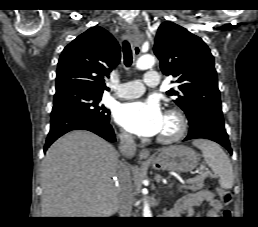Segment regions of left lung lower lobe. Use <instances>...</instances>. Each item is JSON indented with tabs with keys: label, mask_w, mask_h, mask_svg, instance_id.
Segmentation results:
<instances>
[{
	"label": "left lung lower lobe",
	"mask_w": 258,
	"mask_h": 227,
	"mask_svg": "<svg viewBox=\"0 0 258 227\" xmlns=\"http://www.w3.org/2000/svg\"><path fill=\"white\" fill-rule=\"evenodd\" d=\"M189 125L190 130L184 140L196 138L209 139L219 143L232 154L228 135L224 127L222 112L214 110L205 111L195 122L189 123Z\"/></svg>",
	"instance_id": "0a47b994"
}]
</instances>
